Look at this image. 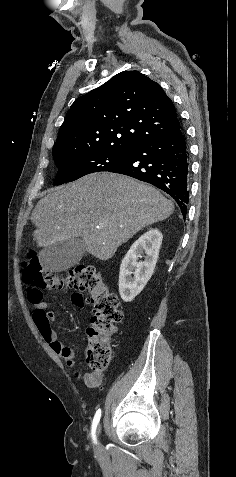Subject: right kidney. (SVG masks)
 <instances>
[{"label":"right kidney","mask_w":236,"mask_h":477,"mask_svg":"<svg viewBox=\"0 0 236 477\" xmlns=\"http://www.w3.org/2000/svg\"><path fill=\"white\" fill-rule=\"evenodd\" d=\"M162 239L163 235L159 230L151 229L134 242L123 258L119 273V293L124 302H131L151 278ZM144 253L145 260L138 261Z\"/></svg>","instance_id":"right-kidney-1"}]
</instances>
